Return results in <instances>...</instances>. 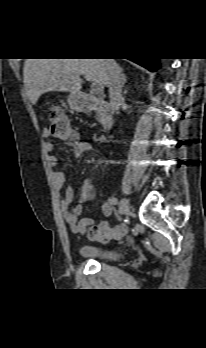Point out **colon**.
<instances>
[{"label": "colon", "mask_w": 206, "mask_h": 348, "mask_svg": "<svg viewBox=\"0 0 206 348\" xmlns=\"http://www.w3.org/2000/svg\"><path fill=\"white\" fill-rule=\"evenodd\" d=\"M50 135L58 140L67 143H75L77 134L70 124L63 109L59 106H51L49 108ZM87 236L96 241L107 242L114 239H120L126 233L124 225L111 227L106 222H101L98 225H93L86 231Z\"/></svg>", "instance_id": "1"}]
</instances>
